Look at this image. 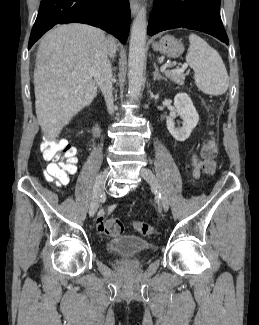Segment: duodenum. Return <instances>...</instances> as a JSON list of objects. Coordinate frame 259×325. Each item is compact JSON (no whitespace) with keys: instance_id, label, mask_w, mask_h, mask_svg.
<instances>
[{"instance_id":"1","label":"duodenum","mask_w":259,"mask_h":325,"mask_svg":"<svg viewBox=\"0 0 259 325\" xmlns=\"http://www.w3.org/2000/svg\"><path fill=\"white\" fill-rule=\"evenodd\" d=\"M94 132H95V134H99L100 133V127L98 126V125H95L94 126Z\"/></svg>"}]
</instances>
